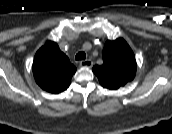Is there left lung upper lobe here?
<instances>
[{
    "mask_svg": "<svg viewBox=\"0 0 172 134\" xmlns=\"http://www.w3.org/2000/svg\"><path fill=\"white\" fill-rule=\"evenodd\" d=\"M102 57L103 64L95 65L92 70L103 87L118 89L134 79L137 69L135 56L124 39L106 41Z\"/></svg>",
    "mask_w": 172,
    "mask_h": 134,
    "instance_id": "left-lung-upper-lobe-1",
    "label": "left lung upper lobe"
}]
</instances>
